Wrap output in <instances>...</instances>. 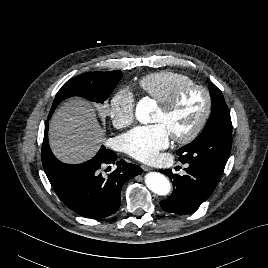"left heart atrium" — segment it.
I'll return each instance as SVG.
<instances>
[{
    "mask_svg": "<svg viewBox=\"0 0 268 268\" xmlns=\"http://www.w3.org/2000/svg\"><path fill=\"white\" fill-rule=\"evenodd\" d=\"M169 144V133L161 123L137 126L122 137L124 151L131 157L151 163Z\"/></svg>",
    "mask_w": 268,
    "mask_h": 268,
    "instance_id": "1",
    "label": "left heart atrium"
}]
</instances>
